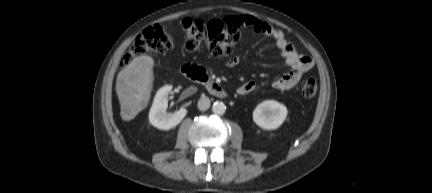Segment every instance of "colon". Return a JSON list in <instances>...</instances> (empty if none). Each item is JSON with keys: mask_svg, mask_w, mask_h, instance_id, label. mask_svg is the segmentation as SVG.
Wrapping results in <instances>:
<instances>
[{"mask_svg": "<svg viewBox=\"0 0 432 193\" xmlns=\"http://www.w3.org/2000/svg\"><path fill=\"white\" fill-rule=\"evenodd\" d=\"M185 35V48L188 51H195L205 46L208 52L215 57L229 55L239 40V28L222 22L212 20L207 23L200 19H185L183 21ZM175 40L168 34L164 27L153 25L137 36L129 50L123 55L121 65L126 66L136 56L147 52L163 54L174 47ZM318 85L315 79H308L301 88L305 98H312L316 95Z\"/></svg>", "mask_w": 432, "mask_h": 193, "instance_id": "5ec220e1", "label": "colon"}]
</instances>
